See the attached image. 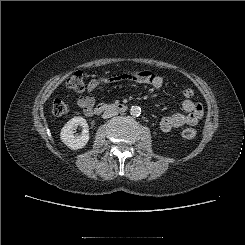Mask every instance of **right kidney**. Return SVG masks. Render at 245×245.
<instances>
[{"label": "right kidney", "instance_id": "right-kidney-1", "mask_svg": "<svg viewBox=\"0 0 245 245\" xmlns=\"http://www.w3.org/2000/svg\"><path fill=\"white\" fill-rule=\"evenodd\" d=\"M82 127L81 135H75L76 127ZM60 138L62 142L72 150L82 149L89 141V128L86 119L80 116L70 119L61 129Z\"/></svg>", "mask_w": 245, "mask_h": 245}]
</instances>
